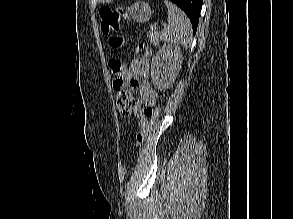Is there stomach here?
<instances>
[{
	"label": "stomach",
	"instance_id": "obj_1",
	"mask_svg": "<svg viewBox=\"0 0 293 219\" xmlns=\"http://www.w3.org/2000/svg\"><path fill=\"white\" fill-rule=\"evenodd\" d=\"M127 13L138 23H144L150 19L152 11L147 3L136 2L127 9Z\"/></svg>",
	"mask_w": 293,
	"mask_h": 219
}]
</instances>
